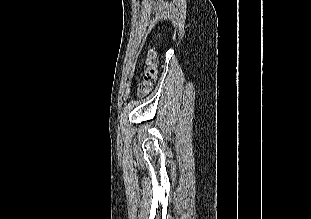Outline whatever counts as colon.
Wrapping results in <instances>:
<instances>
[{
    "mask_svg": "<svg viewBox=\"0 0 311 219\" xmlns=\"http://www.w3.org/2000/svg\"><path fill=\"white\" fill-rule=\"evenodd\" d=\"M144 71L139 85L138 94L145 95L156 80L157 56L153 50H149L144 59Z\"/></svg>",
    "mask_w": 311,
    "mask_h": 219,
    "instance_id": "5ec220e1",
    "label": "colon"
}]
</instances>
